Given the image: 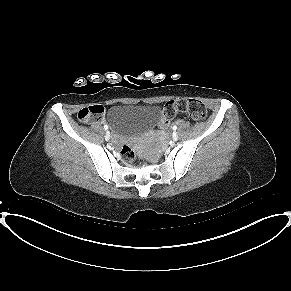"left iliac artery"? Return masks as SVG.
I'll list each match as a JSON object with an SVG mask.
<instances>
[{"instance_id": "1", "label": "left iliac artery", "mask_w": 291, "mask_h": 291, "mask_svg": "<svg viewBox=\"0 0 291 291\" xmlns=\"http://www.w3.org/2000/svg\"><path fill=\"white\" fill-rule=\"evenodd\" d=\"M172 128H173V130H176V129H177V126H176V125H174Z\"/></svg>"}]
</instances>
